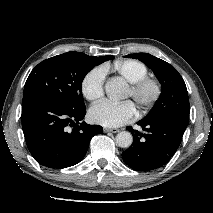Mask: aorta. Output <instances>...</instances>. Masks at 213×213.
<instances>
[{"mask_svg":"<svg viewBox=\"0 0 213 213\" xmlns=\"http://www.w3.org/2000/svg\"><path fill=\"white\" fill-rule=\"evenodd\" d=\"M123 83L117 80H111L105 85L107 95L112 99H117L122 96ZM133 142V136L128 131H122L116 135V143L121 148H128Z\"/></svg>","mask_w":213,"mask_h":213,"instance_id":"aorta-1","label":"aorta"}]
</instances>
